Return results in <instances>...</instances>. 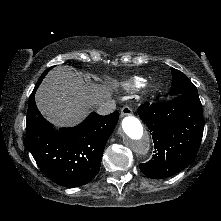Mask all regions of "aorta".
Masks as SVG:
<instances>
[{
  "instance_id": "obj_1",
  "label": "aorta",
  "mask_w": 221,
  "mask_h": 221,
  "mask_svg": "<svg viewBox=\"0 0 221 221\" xmlns=\"http://www.w3.org/2000/svg\"><path fill=\"white\" fill-rule=\"evenodd\" d=\"M120 134L125 144L135 153L145 155L150 148V140L140 120L126 116L121 122Z\"/></svg>"
}]
</instances>
